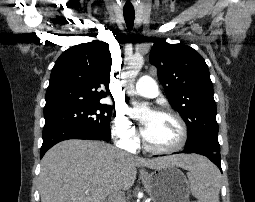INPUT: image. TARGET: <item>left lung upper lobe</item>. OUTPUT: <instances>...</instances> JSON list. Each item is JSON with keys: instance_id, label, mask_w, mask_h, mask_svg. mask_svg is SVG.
<instances>
[{"instance_id": "1", "label": "left lung upper lobe", "mask_w": 255, "mask_h": 202, "mask_svg": "<svg viewBox=\"0 0 255 202\" xmlns=\"http://www.w3.org/2000/svg\"><path fill=\"white\" fill-rule=\"evenodd\" d=\"M150 62L167 98L188 127L186 150L220 149L216 104L208 66L193 48L157 39Z\"/></svg>"}]
</instances>
